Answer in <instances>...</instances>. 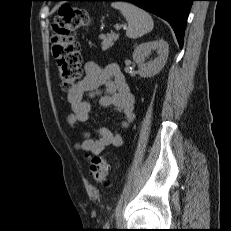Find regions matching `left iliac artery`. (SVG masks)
Segmentation results:
<instances>
[{
  "mask_svg": "<svg viewBox=\"0 0 231 231\" xmlns=\"http://www.w3.org/2000/svg\"><path fill=\"white\" fill-rule=\"evenodd\" d=\"M105 227H106V228H109V223H108V222L105 224Z\"/></svg>",
  "mask_w": 231,
  "mask_h": 231,
  "instance_id": "left-iliac-artery-1",
  "label": "left iliac artery"
}]
</instances>
